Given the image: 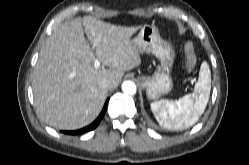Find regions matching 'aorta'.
<instances>
[{
  "label": "aorta",
  "instance_id": "762f6f07",
  "mask_svg": "<svg viewBox=\"0 0 249 165\" xmlns=\"http://www.w3.org/2000/svg\"><path fill=\"white\" fill-rule=\"evenodd\" d=\"M122 91L128 95H134L137 91L136 84L133 81L126 80L122 83Z\"/></svg>",
  "mask_w": 249,
  "mask_h": 165
}]
</instances>
